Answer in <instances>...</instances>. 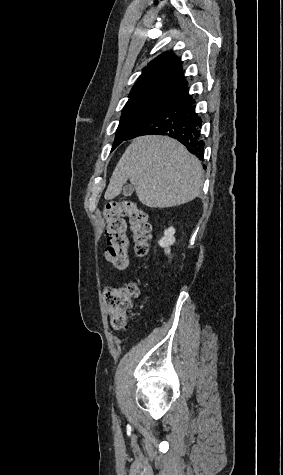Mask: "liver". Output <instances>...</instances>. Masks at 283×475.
Listing matches in <instances>:
<instances>
[{
  "label": "liver",
  "mask_w": 283,
  "mask_h": 475,
  "mask_svg": "<svg viewBox=\"0 0 283 475\" xmlns=\"http://www.w3.org/2000/svg\"><path fill=\"white\" fill-rule=\"evenodd\" d=\"M202 166L185 146L166 136H142L126 148L110 178L105 200L130 180L144 206L171 208L191 202L203 186Z\"/></svg>",
  "instance_id": "liver-1"
}]
</instances>
